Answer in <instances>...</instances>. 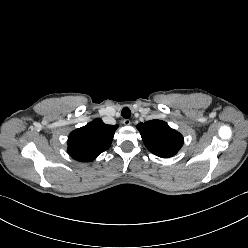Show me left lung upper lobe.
Wrapping results in <instances>:
<instances>
[{
    "label": "left lung upper lobe",
    "mask_w": 248,
    "mask_h": 248,
    "mask_svg": "<svg viewBox=\"0 0 248 248\" xmlns=\"http://www.w3.org/2000/svg\"><path fill=\"white\" fill-rule=\"evenodd\" d=\"M137 129L147 149L161 158L175 155L182 147V135L164 121L150 120L138 124Z\"/></svg>",
    "instance_id": "1"
}]
</instances>
